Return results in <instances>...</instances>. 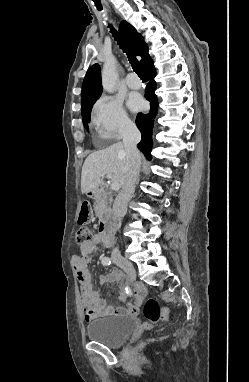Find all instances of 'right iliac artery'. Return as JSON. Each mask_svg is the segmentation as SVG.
I'll return each instance as SVG.
<instances>
[{
    "label": "right iliac artery",
    "mask_w": 249,
    "mask_h": 382,
    "mask_svg": "<svg viewBox=\"0 0 249 382\" xmlns=\"http://www.w3.org/2000/svg\"><path fill=\"white\" fill-rule=\"evenodd\" d=\"M102 264H103V265H110V264H111V260H110V258H109V257H104V258L102 259Z\"/></svg>",
    "instance_id": "right-iliac-artery-1"
}]
</instances>
